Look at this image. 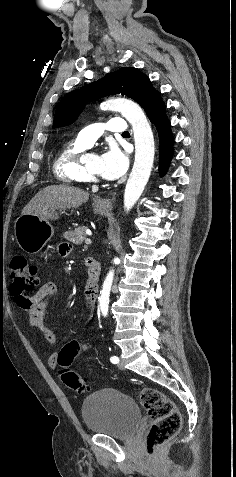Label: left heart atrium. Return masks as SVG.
I'll return each mask as SVG.
<instances>
[{"mask_svg": "<svg viewBox=\"0 0 236 477\" xmlns=\"http://www.w3.org/2000/svg\"><path fill=\"white\" fill-rule=\"evenodd\" d=\"M101 174L108 179H116L124 174L128 166L126 155L116 146L110 145L101 155Z\"/></svg>", "mask_w": 236, "mask_h": 477, "instance_id": "left-heart-atrium-1", "label": "left heart atrium"}]
</instances>
